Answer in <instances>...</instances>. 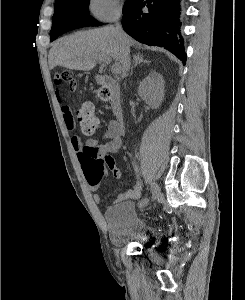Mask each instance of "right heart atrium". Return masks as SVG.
<instances>
[{"mask_svg": "<svg viewBox=\"0 0 245 300\" xmlns=\"http://www.w3.org/2000/svg\"><path fill=\"white\" fill-rule=\"evenodd\" d=\"M86 9L95 20L109 22L120 15L121 3L120 0H88Z\"/></svg>", "mask_w": 245, "mask_h": 300, "instance_id": "obj_1", "label": "right heart atrium"}]
</instances>
